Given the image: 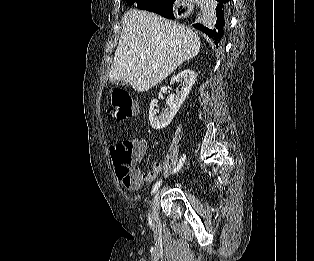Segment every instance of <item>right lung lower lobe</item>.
I'll use <instances>...</instances> for the list:
<instances>
[{
    "instance_id": "1",
    "label": "right lung lower lobe",
    "mask_w": 314,
    "mask_h": 261,
    "mask_svg": "<svg viewBox=\"0 0 314 261\" xmlns=\"http://www.w3.org/2000/svg\"><path fill=\"white\" fill-rule=\"evenodd\" d=\"M216 10V24L212 29H209L202 24H194L193 26L202 32L206 33L216 44L221 45L224 32L227 25L228 13H229V1L230 0H214ZM147 11L155 12L168 19H178L183 12L181 1L179 0H163L160 3L149 7Z\"/></svg>"
}]
</instances>
